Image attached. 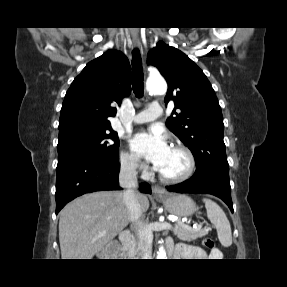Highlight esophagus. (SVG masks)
Masks as SVG:
<instances>
[{
    "mask_svg": "<svg viewBox=\"0 0 287 287\" xmlns=\"http://www.w3.org/2000/svg\"><path fill=\"white\" fill-rule=\"evenodd\" d=\"M132 42H133L134 47L141 48V42H140L138 37L132 38ZM152 193L154 195H156V196L164 195L165 194V189L162 188L161 186L153 185L152 186Z\"/></svg>",
    "mask_w": 287,
    "mask_h": 287,
    "instance_id": "obj_1",
    "label": "esophagus"
}]
</instances>
